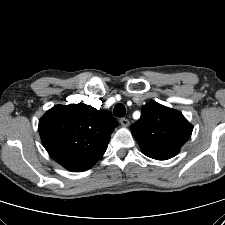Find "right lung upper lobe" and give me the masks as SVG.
I'll use <instances>...</instances> for the list:
<instances>
[{"label":"right lung upper lobe","mask_w":225,"mask_h":225,"mask_svg":"<svg viewBox=\"0 0 225 225\" xmlns=\"http://www.w3.org/2000/svg\"><path fill=\"white\" fill-rule=\"evenodd\" d=\"M117 120L107 110L83 103L57 105L39 120V134L50 157L70 171L91 168L105 153Z\"/></svg>","instance_id":"right-lung-upper-lobe-1"}]
</instances>
